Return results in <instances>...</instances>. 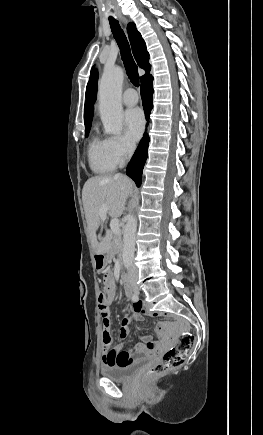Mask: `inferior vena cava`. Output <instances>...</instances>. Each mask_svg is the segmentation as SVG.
<instances>
[{"label":"inferior vena cava","instance_id":"602c4592","mask_svg":"<svg viewBox=\"0 0 263 435\" xmlns=\"http://www.w3.org/2000/svg\"><path fill=\"white\" fill-rule=\"evenodd\" d=\"M135 150V145L134 144H129L128 145V157H131V155L133 154ZM137 273V270L135 269V267H131L129 270V274H135Z\"/></svg>","mask_w":263,"mask_h":435}]
</instances>
